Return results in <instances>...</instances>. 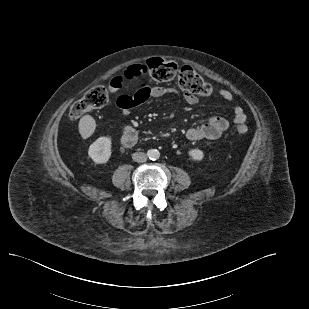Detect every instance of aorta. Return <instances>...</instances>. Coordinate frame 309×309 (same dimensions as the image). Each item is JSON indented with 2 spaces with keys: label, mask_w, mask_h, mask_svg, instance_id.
Masks as SVG:
<instances>
[{
  "label": "aorta",
  "mask_w": 309,
  "mask_h": 309,
  "mask_svg": "<svg viewBox=\"0 0 309 309\" xmlns=\"http://www.w3.org/2000/svg\"><path fill=\"white\" fill-rule=\"evenodd\" d=\"M148 157H149L151 160H157V159H159V157H160V152H159V150H157V149H150V150L148 151Z\"/></svg>",
  "instance_id": "1"
}]
</instances>
